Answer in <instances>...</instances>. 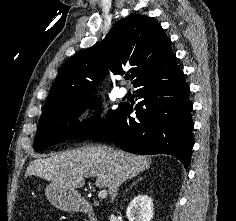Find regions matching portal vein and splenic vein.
<instances>
[{
  "label": "portal vein and splenic vein",
  "mask_w": 236,
  "mask_h": 221,
  "mask_svg": "<svg viewBox=\"0 0 236 221\" xmlns=\"http://www.w3.org/2000/svg\"><path fill=\"white\" fill-rule=\"evenodd\" d=\"M107 194H108V192H107V190H101L99 193H98V197L100 198V199H104L106 196H107Z\"/></svg>",
  "instance_id": "18ae733b"
}]
</instances>
